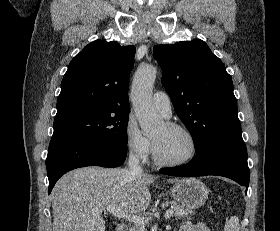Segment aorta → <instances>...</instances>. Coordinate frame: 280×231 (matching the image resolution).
<instances>
[{"mask_svg":"<svg viewBox=\"0 0 280 231\" xmlns=\"http://www.w3.org/2000/svg\"><path fill=\"white\" fill-rule=\"evenodd\" d=\"M157 70L150 64H142L135 72L131 102L135 116L145 135L155 133L163 119L156 114L152 104V92L156 80Z\"/></svg>","mask_w":280,"mask_h":231,"instance_id":"aorta-1","label":"aorta"}]
</instances>
